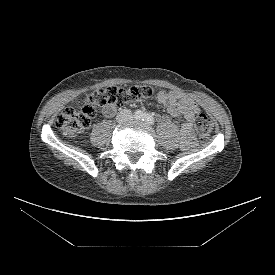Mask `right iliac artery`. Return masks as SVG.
<instances>
[{
  "mask_svg": "<svg viewBox=\"0 0 275 275\" xmlns=\"http://www.w3.org/2000/svg\"><path fill=\"white\" fill-rule=\"evenodd\" d=\"M135 118L138 120L143 119V113L141 111H137L135 114Z\"/></svg>",
  "mask_w": 275,
  "mask_h": 275,
  "instance_id": "82829eb1",
  "label": "right iliac artery"
}]
</instances>
